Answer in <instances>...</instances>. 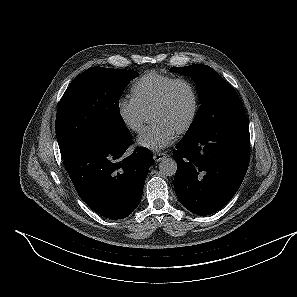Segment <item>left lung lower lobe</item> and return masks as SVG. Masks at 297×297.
Segmentation results:
<instances>
[{
  "instance_id": "0a47b994",
  "label": "left lung lower lobe",
  "mask_w": 297,
  "mask_h": 297,
  "mask_svg": "<svg viewBox=\"0 0 297 297\" xmlns=\"http://www.w3.org/2000/svg\"><path fill=\"white\" fill-rule=\"evenodd\" d=\"M249 120L245 113L183 137L173 152L174 188L181 204L197 215L224 207L249 165Z\"/></svg>"
}]
</instances>
